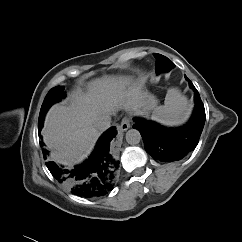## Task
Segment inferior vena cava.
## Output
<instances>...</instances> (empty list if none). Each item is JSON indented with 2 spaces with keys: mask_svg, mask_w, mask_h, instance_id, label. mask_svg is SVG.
Returning a JSON list of instances; mask_svg holds the SVG:
<instances>
[{
  "mask_svg": "<svg viewBox=\"0 0 242 242\" xmlns=\"http://www.w3.org/2000/svg\"><path fill=\"white\" fill-rule=\"evenodd\" d=\"M95 126L100 131H105L111 126V116L102 114L96 121Z\"/></svg>",
  "mask_w": 242,
  "mask_h": 242,
  "instance_id": "602c4592",
  "label": "inferior vena cava"
}]
</instances>
